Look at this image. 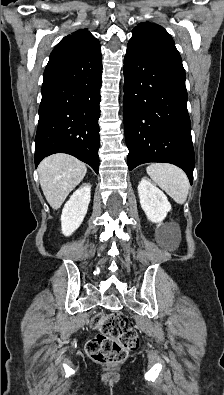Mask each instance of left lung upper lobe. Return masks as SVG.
<instances>
[{"label":"left lung upper lobe","instance_id":"5c2ea615","mask_svg":"<svg viewBox=\"0 0 224 395\" xmlns=\"http://www.w3.org/2000/svg\"><path fill=\"white\" fill-rule=\"evenodd\" d=\"M132 33L128 46L182 63L172 37L162 26L150 22L140 23Z\"/></svg>","mask_w":224,"mask_h":395}]
</instances>
